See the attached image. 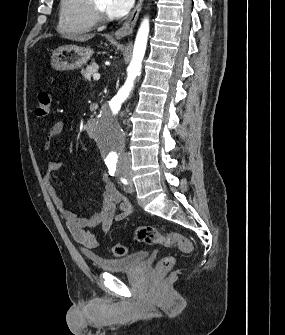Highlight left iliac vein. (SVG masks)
I'll return each instance as SVG.
<instances>
[{
  "mask_svg": "<svg viewBox=\"0 0 285 335\" xmlns=\"http://www.w3.org/2000/svg\"><path fill=\"white\" fill-rule=\"evenodd\" d=\"M128 180V186H125L124 189L125 191L132 193L134 192V184L132 182V179L130 177L127 178Z\"/></svg>",
  "mask_w": 285,
  "mask_h": 335,
  "instance_id": "4c4485c4",
  "label": "left iliac vein"
}]
</instances>
